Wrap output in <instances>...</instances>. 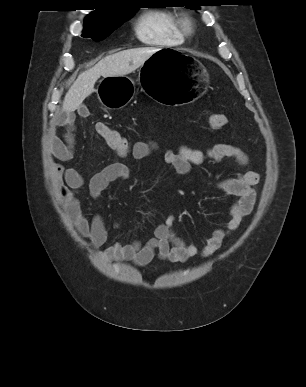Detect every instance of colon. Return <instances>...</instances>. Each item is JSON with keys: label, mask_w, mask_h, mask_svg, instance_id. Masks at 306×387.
<instances>
[{"label": "colon", "mask_w": 306, "mask_h": 387, "mask_svg": "<svg viewBox=\"0 0 306 387\" xmlns=\"http://www.w3.org/2000/svg\"><path fill=\"white\" fill-rule=\"evenodd\" d=\"M227 122L226 116L219 113H211L207 117V123L212 129H220ZM97 134L106 142V144L115 150L118 154L128 156L132 145L119 132L114 130L105 122H98L95 125Z\"/></svg>", "instance_id": "5ec220e1"}]
</instances>
